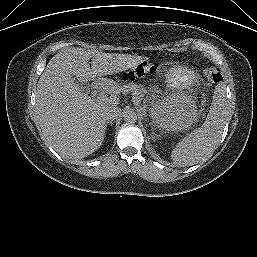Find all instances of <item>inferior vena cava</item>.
Instances as JSON below:
<instances>
[{
	"instance_id": "inferior-vena-cava-1",
	"label": "inferior vena cava",
	"mask_w": 257,
	"mask_h": 257,
	"mask_svg": "<svg viewBox=\"0 0 257 257\" xmlns=\"http://www.w3.org/2000/svg\"><path fill=\"white\" fill-rule=\"evenodd\" d=\"M121 114V109L116 106H109L104 109L102 115L103 118L108 122L117 119V117Z\"/></svg>"
}]
</instances>
